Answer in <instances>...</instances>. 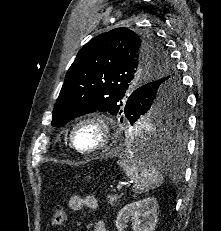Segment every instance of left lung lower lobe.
<instances>
[{
    "label": "left lung lower lobe",
    "mask_w": 221,
    "mask_h": 231,
    "mask_svg": "<svg viewBox=\"0 0 221 231\" xmlns=\"http://www.w3.org/2000/svg\"><path fill=\"white\" fill-rule=\"evenodd\" d=\"M140 94V89L135 90L128 98V101L130 100V103L136 104L138 101L141 100ZM182 94L184 96L183 89ZM138 114L139 113L134 114L133 112L130 117H127V119L131 123H134L138 119ZM184 125L185 120L180 125L178 132L176 134H172L169 136L161 135L158 131L146 130L143 132L129 131L126 134V138L130 140L132 143L142 147L144 153L153 154V156L148 155L150 161H153L154 163L158 164H164V160L166 159L154 156V154L160 153L163 154V156H166L167 163H170L174 159L175 161L179 159L180 156L184 153L185 143L181 133V128ZM156 129H159V127H157Z\"/></svg>",
    "instance_id": "0a47b994"
}]
</instances>
